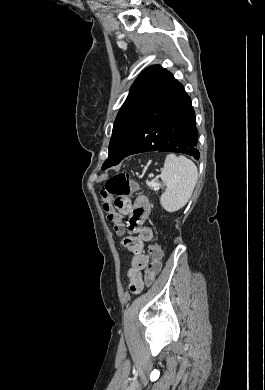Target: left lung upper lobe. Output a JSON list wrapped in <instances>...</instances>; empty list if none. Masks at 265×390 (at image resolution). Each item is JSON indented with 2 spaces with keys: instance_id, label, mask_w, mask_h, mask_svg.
<instances>
[{
  "instance_id": "left-lung-upper-lobe-1",
  "label": "left lung upper lobe",
  "mask_w": 265,
  "mask_h": 390,
  "mask_svg": "<svg viewBox=\"0 0 265 390\" xmlns=\"http://www.w3.org/2000/svg\"><path fill=\"white\" fill-rule=\"evenodd\" d=\"M169 75L170 72L161 66L152 65L134 81L115 119L109 143V156L102 169L117 165L123 159L135 137L143 110Z\"/></svg>"
}]
</instances>
